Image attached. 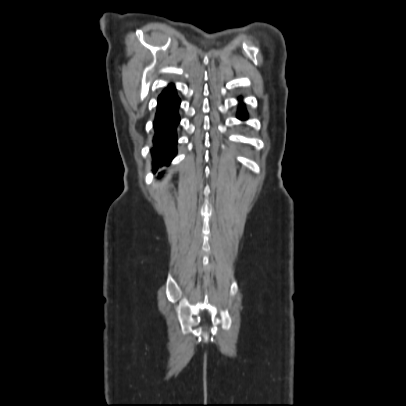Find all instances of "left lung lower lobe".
Wrapping results in <instances>:
<instances>
[{"label":"left lung lower lobe","mask_w":406,"mask_h":406,"mask_svg":"<svg viewBox=\"0 0 406 406\" xmlns=\"http://www.w3.org/2000/svg\"><path fill=\"white\" fill-rule=\"evenodd\" d=\"M237 117H238L239 119H242V120H243V119H247L248 114H247L246 109H245L244 107H240V108H239Z\"/></svg>","instance_id":"0a47b994"}]
</instances>
